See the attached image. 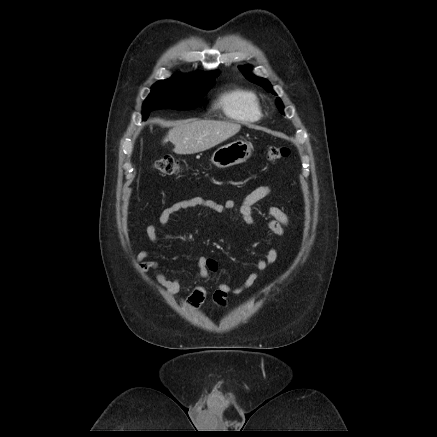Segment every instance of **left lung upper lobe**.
Listing matches in <instances>:
<instances>
[{
  "label": "left lung upper lobe",
  "instance_id": "5c2ea615",
  "mask_svg": "<svg viewBox=\"0 0 437 437\" xmlns=\"http://www.w3.org/2000/svg\"><path fill=\"white\" fill-rule=\"evenodd\" d=\"M239 69L241 70L243 75L249 81L264 87L267 91L276 95V93L272 90V86L270 85V83L266 79L255 77V76L251 75V73H250L251 67L250 66H242ZM276 105H277L279 111L283 114V104L279 98L276 99Z\"/></svg>",
  "mask_w": 437,
  "mask_h": 437
}]
</instances>
